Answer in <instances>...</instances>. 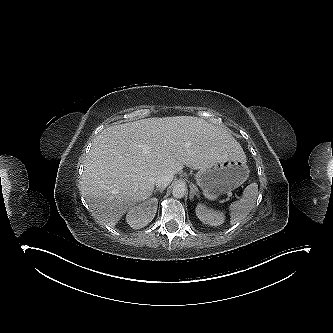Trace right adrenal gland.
Instances as JSON below:
<instances>
[{"instance_id": "obj_1", "label": "right adrenal gland", "mask_w": 333, "mask_h": 333, "mask_svg": "<svg viewBox=\"0 0 333 333\" xmlns=\"http://www.w3.org/2000/svg\"><path fill=\"white\" fill-rule=\"evenodd\" d=\"M164 191V188H158V189H155L153 192L156 193V192H160L162 193Z\"/></svg>"}]
</instances>
